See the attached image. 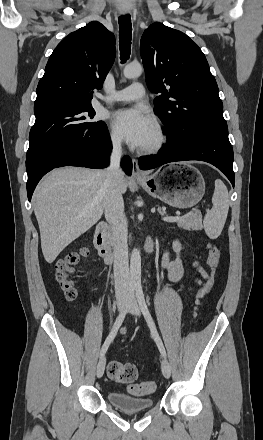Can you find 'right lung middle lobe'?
<instances>
[{"instance_id": "1", "label": "right lung middle lobe", "mask_w": 263, "mask_h": 440, "mask_svg": "<svg viewBox=\"0 0 263 440\" xmlns=\"http://www.w3.org/2000/svg\"><path fill=\"white\" fill-rule=\"evenodd\" d=\"M34 113L36 120L30 131L26 158L59 140L98 134L106 128L103 121L92 120L95 111L91 104L60 103L34 108Z\"/></svg>"}]
</instances>
